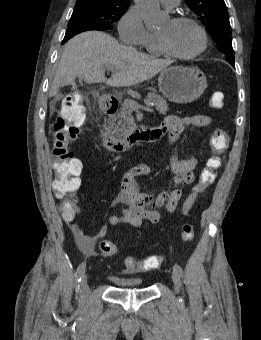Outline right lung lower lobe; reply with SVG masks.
<instances>
[{
  "instance_id": "obj_1",
  "label": "right lung lower lobe",
  "mask_w": 261,
  "mask_h": 340,
  "mask_svg": "<svg viewBox=\"0 0 261 340\" xmlns=\"http://www.w3.org/2000/svg\"><path fill=\"white\" fill-rule=\"evenodd\" d=\"M89 30H96L92 27H88V26H72V27H68L65 37L62 41V44L65 43L66 41H68L71 37H73L74 35L84 32V31H89Z\"/></svg>"
}]
</instances>
